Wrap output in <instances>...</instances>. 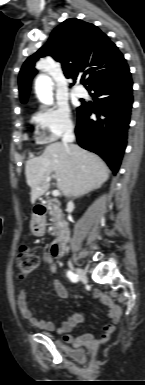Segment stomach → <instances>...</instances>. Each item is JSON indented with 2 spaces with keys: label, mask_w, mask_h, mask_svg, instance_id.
<instances>
[{
  "label": "stomach",
  "mask_w": 145,
  "mask_h": 385,
  "mask_svg": "<svg viewBox=\"0 0 145 385\" xmlns=\"http://www.w3.org/2000/svg\"><path fill=\"white\" fill-rule=\"evenodd\" d=\"M31 229H32V232H33V233H35V229H34V227H33V226L31 227Z\"/></svg>",
  "instance_id": "0dacf381"
}]
</instances>
